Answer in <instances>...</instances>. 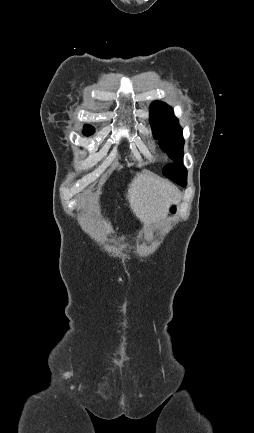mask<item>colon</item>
<instances>
[{
	"label": "colon",
	"instance_id": "colon-1",
	"mask_svg": "<svg viewBox=\"0 0 254 433\" xmlns=\"http://www.w3.org/2000/svg\"><path fill=\"white\" fill-rule=\"evenodd\" d=\"M171 210H172V211L174 210V205L171 206Z\"/></svg>",
	"mask_w": 254,
	"mask_h": 433
}]
</instances>
